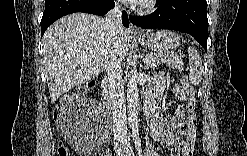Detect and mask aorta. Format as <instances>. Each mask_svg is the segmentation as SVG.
<instances>
[{
    "instance_id": "aorta-1",
    "label": "aorta",
    "mask_w": 247,
    "mask_h": 156,
    "mask_svg": "<svg viewBox=\"0 0 247 156\" xmlns=\"http://www.w3.org/2000/svg\"><path fill=\"white\" fill-rule=\"evenodd\" d=\"M133 68L128 73L127 83V112L128 121L132 126L138 124V109H139V89H138V72L134 63Z\"/></svg>"
}]
</instances>
